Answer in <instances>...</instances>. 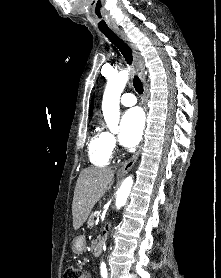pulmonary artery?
<instances>
[{"instance_id": "obj_1", "label": "pulmonary artery", "mask_w": 221, "mask_h": 278, "mask_svg": "<svg viewBox=\"0 0 221 278\" xmlns=\"http://www.w3.org/2000/svg\"><path fill=\"white\" fill-rule=\"evenodd\" d=\"M120 102L123 106L131 107L137 103L135 95L126 93L121 96Z\"/></svg>"}]
</instances>
